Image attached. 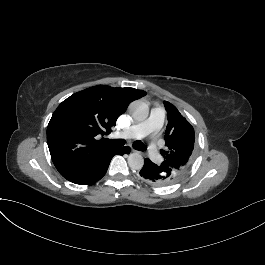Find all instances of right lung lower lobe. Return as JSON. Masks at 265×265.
<instances>
[{
  "label": "right lung lower lobe",
  "mask_w": 265,
  "mask_h": 265,
  "mask_svg": "<svg viewBox=\"0 0 265 265\" xmlns=\"http://www.w3.org/2000/svg\"><path fill=\"white\" fill-rule=\"evenodd\" d=\"M129 153H130V148L128 146L113 149L105 157V159L98 165V167L95 170H93L85 179L73 183L84 184V185L95 183L105 175L109 167L110 161L115 155L117 154L123 155Z\"/></svg>",
  "instance_id": "obj_1"
}]
</instances>
